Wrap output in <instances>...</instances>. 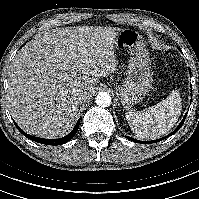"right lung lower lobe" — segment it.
Wrapping results in <instances>:
<instances>
[{
	"label": "right lung lower lobe",
	"mask_w": 199,
	"mask_h": 199,
	"mask_svg": "<svg viewBox=\"0 0 199 199\" xmlns=\"http://www.w3.org/2000/svg\"><path fill=\"white\" fill-rule=\"evenodd\" d=\"M15 126L17 127V129L28 139L41 143V144H47V145H61L64 144L66 142H68L69 140H71L75 134L78 131L79 128V124H80V119L78 120L77 124L75 125L74 129L65 137L60 138V139H44V138H38V137H34V136H30L28 134H26L25 132H23L19 126L14 122Z\"/></svg>",
	"instance_id": "obj_1"
}]
</instances>
